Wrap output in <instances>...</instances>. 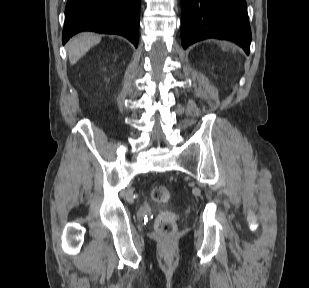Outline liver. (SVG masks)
I'll return each instance as SVG.
<instances>
[{
  "mask_svg": "<svg viewBox=\"0 0 309 288\" xmlns=\"http://www.w3.org/2000/svg\"><path fill=\"white\" fill-rule=\"evenodd\" d=\"M101 41V36L93 33H82L69 41L67 45L69 61L74 65L83 57L93 46Z\"/></svg>",
  "mask_w": 309,
  "mask_h": 288,
  "instance_id": "obj_1",
  "label": "liver"
}]
</instances>
